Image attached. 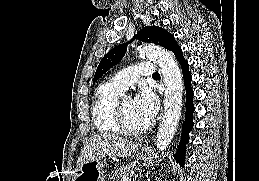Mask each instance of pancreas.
<instances>
[{"instance_id":"cf45deb5","label":"pancreas","mask_w":259,"mask_h":181,"mask_svg":"<svg viewBox=\"0 0 259 181\" xmlns=\"http://www.w3.org/2000/svg\"><path fill=\"white\" fill-rule=\"evenodd\" d=\"M131 171H132V169H131L130 166H122V167L116 169L113 172V177L112 178L120 179V178H123V177H128L129 173Z\"/></svg>"}]
</instances>
